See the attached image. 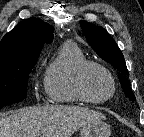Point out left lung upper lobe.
Instances as JSON below:
<instances>
[{"instance_id": "obj_1", "label": "left lung upper lobe", "mask_w": 144, "mask_h": 137, "mask_svg": "<svg viewBox=\"0 0 144 137\" xmlns=\"http://www.w3.org/2000/svg\"><path fill=\"white\" fill-rule=\"evenodd\" d=\"M81 28L86 39L95 52L105 61L112 64L119 71V80L126 96L131 100H135L129 82L126 77L129 76L124 56L115 43L111 35L102 27L95 26L84 20L80 21Z\"/></svg>"}]
</instances>
